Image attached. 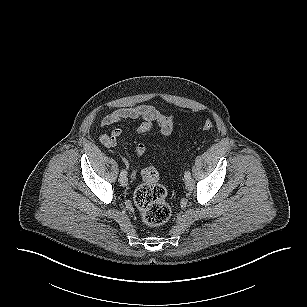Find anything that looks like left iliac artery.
Returning a JSON list of instances; mask_svg holds the SVG:
<instances>
[{
  "label": "left iliac artery",
  "mask_w": 307,
  "mask_h": 307,
  "mask_svg": "<svg viewBox=\"0 0 307 307\" xmlns=\"http://www.w3.org/2000/svg\"><path fill=\"white\" fill-rule=\"evenodd\" d=\"M188 176H191V173H190L189 171H186V172L184 173V177L186 178V177H188Z\"/></svg>",
  "instance_id": "left-iliac-artery-1"
}]
</instances>
